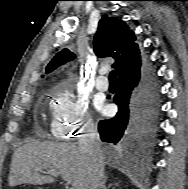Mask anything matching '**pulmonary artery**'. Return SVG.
Listing matches in <instances>:
<instances>
[{
  "instance_id": "pulmonary-artery-1",
  "label": "pulmonary artery",
  "mask_w": 188,
  "mask_h": 189,
  "mask_svg": "<svg viewBox=\"0 0 188 189\" xmlns=\"http://www.w3.org/2000/svg\"><path fill=\"white\" fill-rule=\"evenodd\" d=\"M104 70H100L98 73V77L95 80V87L99 91H106L109 88V83L107 78L104 76Z\"/></svg>"
}]
</instances>
